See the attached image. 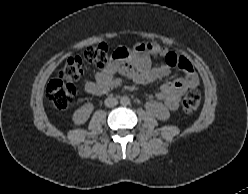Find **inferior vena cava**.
Wrapping results in <instances>:
<instances>
[{"label": "inferior vena cava", "mask_w": 248, "mask_h": 194, "mask_svg": "<svg viewBox=\"0 0 248 194\" xmlns=\"http://www.w3.org/2000/svg\"><path fill=\"white\" fill-rule=\"evenodd\" d=\"M118 104V100L115 97H108L105 99V106L114 107Z\"/></svg>", "instance_id": "1"}]
</instances>
